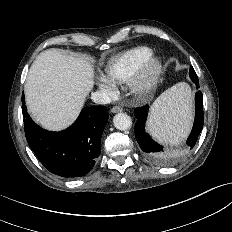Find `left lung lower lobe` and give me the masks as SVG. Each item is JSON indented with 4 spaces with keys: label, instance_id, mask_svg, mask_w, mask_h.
Returning a JSON list of instances; mask_svg holds the SVG:
<instances>
[{
    "label": "left lung lower lobe",
    "instance_id": "left-lung-lower-lobe-1",
    "mask_svg": "<svg viewBox=\"0 0 232 232\" xmlns=\"http://www.w3.org/2000/svg\"><path fill=\"white\" fill-rule=\"evenodd\" d=\"M189 75L191 80L196 84V87H199L198 77L196 75L193 67L190 68ZM149 106L138 107L135 109V117L137 122L135 124V138L142 149V151L153 161L155 162H164L166 158L160 154L162 151V146L157 144L148 133L145 132V122L148 115ZM204 124V114H203V96L201 91L197 92L195 95V120L194 125L187 140V145L192 149L200 132L202 131Z\"/></svg>",
    "mask_w": 232,
    "mask_h": 232
}]
</instances>
